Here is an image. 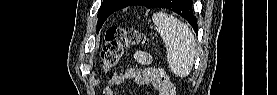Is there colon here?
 <instances>
[{
  "label": "colon",
  "mask_w": 277,
  "mask_h": 95,
  "mask_svg": "<svg viewBox=\"0 0 277 95\" xmlns=\"http://www.w3.org/2000/svg\"><path fill=\"white\" fill-rule=\"evenodd\" d=\"M104 39L105 44L101 51V60L106 70L117 66L126 49L147 42V38L133 27L108 28ZM156 74L160 77V81H168L164 71L158 70Z\"/></svg>",
  "instance_id": "colon-1"
}]
</instances>
